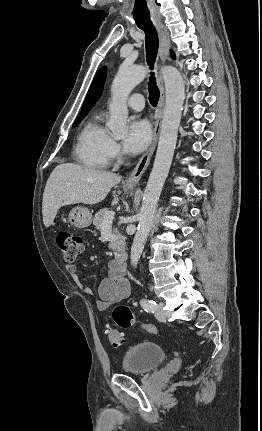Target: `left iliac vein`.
<instances>
[{
	"label": "left iliac vein",
	"mask_w": 262,
	"mask_h": 431,
	"mask_svg": "<svg viewBox=\"0 0 262 431\" xmlns=\"http://www.w3.org/2000/svg\"><path fill=\"white\" fill-rule=\"evenodd\" d=\"M164 303L162 301H159L157 308L155 310V316L159 321H166V312L163 309Z\"/></svg>",
	"instance_id": "left-iliac-vein-1"
}]
</instances>
